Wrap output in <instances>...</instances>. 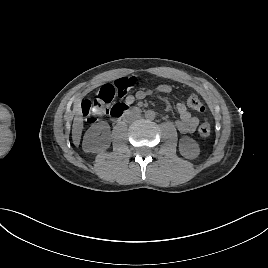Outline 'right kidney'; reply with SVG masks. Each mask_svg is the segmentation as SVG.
I'll list each match as a JSON object with an SVG mask.
<instances>
[{"mask_svg": "<svg viewBox=\"0 0 268 268\" xmlns=\"http://www.w3.org/2000/svg\"><path fill=\"white\" fill-rule=\"evenodd\" d=\"M110 143V127L108 123H96L84 135L83 150L85 152L97 153L108 149Z\"/></svg>", "mask_w": 268, "mask_h": 268, "instance_id": "obj_1", "label": "right kidney"}]
</instances>
